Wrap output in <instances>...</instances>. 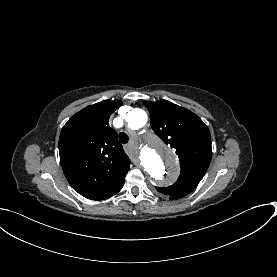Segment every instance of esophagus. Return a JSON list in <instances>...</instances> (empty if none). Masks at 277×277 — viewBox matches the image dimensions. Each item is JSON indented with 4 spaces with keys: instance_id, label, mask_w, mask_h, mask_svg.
Returning a JSON list of instances; mask_svg holds the SVG:
<instances>
[{
    "instance_id": "esophagus-1",
    "label": "esophagus",
    "mask_w": 277,
    "mask_h": 277,
    "mask_svg": "<svg viewBox=\"0 0 277 277\" xmlns=\"http://www.w3.org/2000/svg\"><path fill=\"white\" fill-rule=\"evenodd\" d=\"M133 163L136 165V166H139L140 165V161L138 159H134L133 160Z\"/></svg>"
}]
</instances>
